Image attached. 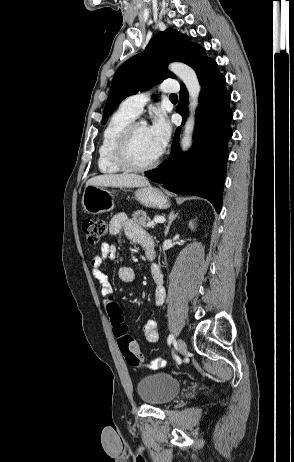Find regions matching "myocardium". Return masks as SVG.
Listing matches in <instances>:
<instances>
[{
	"mask_svg": "<svg viewBox=\"0 0 294 462\" xmlns=\"http://www.w3.org/2000/svg\"><path fill=\"white\" fill-rule=\"evenodd\" d=\"M141 125L143 124L139 121L130 122L123 128L114 143L112 151L113 160L117 166L125 171L143 172L150 170L157 165L162 157L161 152L153 160L146 164L138 165L132 162L130 157L131 142L136 129Z\"/></svg>",
	"mask_w": 294,
	"mask_h": 462,
	"instance_id": "f54148a6",
	"label": "myocardium"
}]
</instances>
